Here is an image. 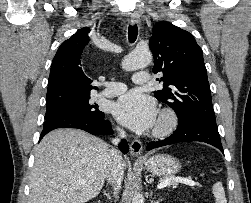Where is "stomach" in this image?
I'll return each instance as SVG.
<instances>
[{"instance_id":"stomach-1","label":"stomach","mask_w":251,"mask_h":203,"mask_svg":"<svg viewBox=\"0 0 251 203\" xmlns=\"http://www.w3.org/2000/svg\"><path fill=\"white\" fill-rule=\"evenodd\" d=\"M146 170L157 176L170 177L181 167L178 159L168 154H158L142 162Z\"/></svg>"}]
</instances>
